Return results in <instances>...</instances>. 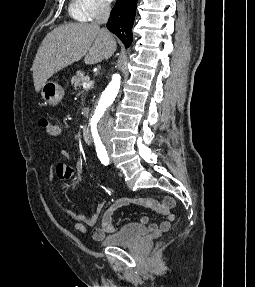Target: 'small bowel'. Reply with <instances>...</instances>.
Instances as JSON below:
<instances>
[{"mask_svg": "<svg viewBox=\"0 0 255 287\" xmlns=\"http://www.w3.org/2000/svg\"><path fill=\"white\" fill-rule=\"evenodd\" d=\"M61 156L64 159H69L70 157L69 152L65 150L61 151ZM55 175L61 180H68L73 177L74 171L66 164L59 163L56 166ZM53 179L54 174L51 173L49 176V180L52 181ZM132 203L150 208L164 216V220L160 224L149 225L148 229L151 233L155 235H160L167 232L171 228V225L175 220V215L172 212V209L175 206V200L168 196L164 197L160 201L152 198L122 197L107 206H105L104 204L98 205L96 211L91 216H86L70 210L65 211V215L73 223L74 229L76 231L86 233V227H92V237L96 240H100L104 237L106 233H112L116 230V227L113 224L114 211L122 206H126ZM99 219H101V227H95ZM140 223L142 225L148 224L149 217L142 216L140 218Z\"/></svg>", "mask_w": 255, "mask_h": 287, "instance_id": "small-bowel-1", "label": "small bowel"}]
</instances>
